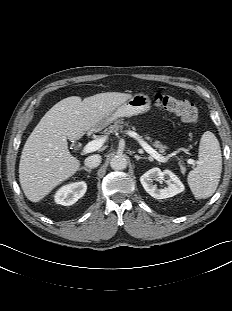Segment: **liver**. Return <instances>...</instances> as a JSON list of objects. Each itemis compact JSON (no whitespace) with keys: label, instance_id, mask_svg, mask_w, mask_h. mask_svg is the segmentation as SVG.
Listing matches in <instances>:
<instances>
[{"label":"liver","instance_id":"1","mask_svg":"<svg viewBox=\"0 0 232 311\" xmlns=\"http://www.w3.org/2000/svg\"><path fill=\"white\" fill-rule=\"evenodd\" d=\"M132 97L128 93H99L84 100L67 97L42 117L28 137L19 163L21 188L31 202H39L56 186L79 170L80 161L68 150L118 106Z\"/></svg>","mask_w":232,"mask_h":311}]
</instances>
